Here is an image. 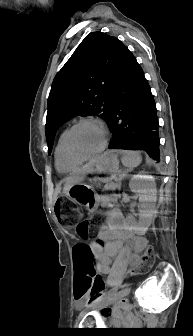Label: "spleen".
Returning <instances> with one entry per match:
<instances>
[{
	"instance_id": "3e777b00",
	"label": "spleen",
	"mask_w": 193,
	"mask_h": 336,
	"mask_svg": "<svg viewBox=\"0 0 193 336\" xmlns=\"http://www.w3.org/2000/svg\"><path fill=\"white\" fill-rule=\"evenodd\" d=\"M122 163L127 167L133 168L141 163V157L136 152H125L122 157Z\"/></svg>"
}]
</instances>
